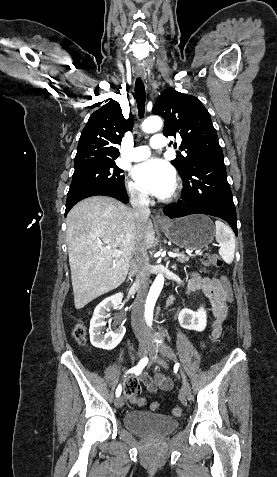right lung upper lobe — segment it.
<instances>
[{"label": "right lung upper lobe", "mask_w": 277, "mask_h": 477, "mask_svg": "<svg viewBox=\"0 0 277 477\" xmlns=\"http://www.w3.org/2000/svg\"><path fill=\"white\" fill-rule=\"evenodd\" d=\"M133 116L125 120L118 102H110L95 111L84 127L75 156L74 167L97 162L114 161L124 133L131 130Z\"/></svg>", "instance_id": "obj_1"}]
</instances>
